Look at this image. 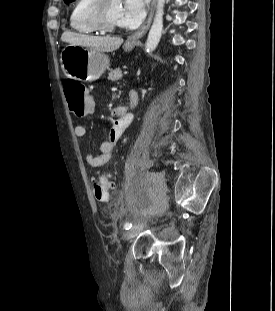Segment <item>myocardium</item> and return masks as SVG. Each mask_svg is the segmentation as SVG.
Instances as JSON below:
<instances>
[{
  "label": "myocardium",
  "mask_w": 275,
  "mask_h": 311,
  "mask_svg": "<svg viewBox=\"0 0 275 311\" xmlns=\"http://www.w3.org/2000/svg\"><path fill=\"white\" fill-rule=\"evenodd\" d=\"M109 0H92L87 8V17L91 24L104 33L118 31L121 25L113 24L107 19V5Z\"/></svg>",
  "instance_id": "myocardium-1"
}]
</instances>
